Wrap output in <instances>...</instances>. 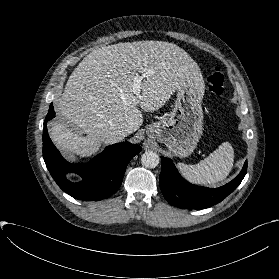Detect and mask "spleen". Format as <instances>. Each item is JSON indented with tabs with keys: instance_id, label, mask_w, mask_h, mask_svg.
<instances>
[{
	"instance_id": "1",
	"label": "spleen",
	"mask_w": 279,
	"mask_h": 279,
	"mask_svg": "<svg viewBox=\"0 0 279 279\" xmlns=\"http://www.w3.org/2000/svg\"><path fill=\"white\" fill-rule=\"evenodd\" d=\"M234 163V151L230 143H222L198 164L178 163V169L189 182L197 185L215 184L223 181L230 173Z\"/></svg>"
}]
</instances>
